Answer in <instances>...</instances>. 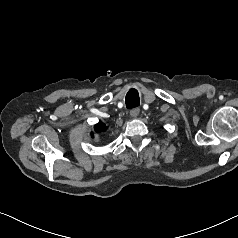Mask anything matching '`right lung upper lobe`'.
<instances>
[{
	"mask_svg": "<svg viewBox=\"0 0 238 238\" xmlns=\"http://www.w3.org/2000/svg\"><path fill=\"white\" fill-rule=\"evenodd\" d=\"M95 132L96 133H99V132H102V131H105L106 130V125L103 124V123H98L95 125Z\"/></svg>",
	"mask_w": 238,
	"mask_h": 238,
	"instance_id": "cb5924a9",
	"label": "right lung upper lobe"
}]
</instances>
